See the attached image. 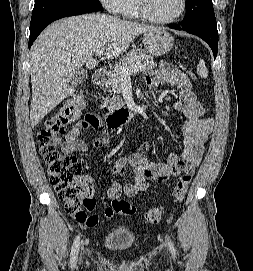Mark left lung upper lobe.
Segmentation results:
<instances>
[{
  "instance_id": "5c2ea615",
  "label": "left lung upper lobe",
  "mask_w": 253,
  "mask_h": 271,
  "mask_svg": "<svg viewBox=\"0 0 253 271\" xmlns=\"http://www.w3.org/2000/svg\"><path fill=\"white\" fill-rule=\"evenodd\" d=\"M186 11L182 22L184 27L216 22L212 0H186Z\"/></svg>"
}]
</instances>
